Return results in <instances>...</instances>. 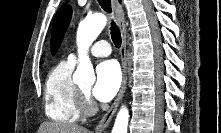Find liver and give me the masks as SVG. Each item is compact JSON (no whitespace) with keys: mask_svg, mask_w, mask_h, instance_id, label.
Returning <instances> with one entry per match:
<instances>
[{"mask_svg":"<svg viewBox=\"0 0 221 133\" xmlns=\"http://www.w3.org/2000/svg\"><path fill=\"white\" fill-rule=\"evenodd\" d=\"M38 133H91L88 129L65 125L62 123L45 122L38 130Z\"/></svg>","mask_w":221,"mask_h":133,"instance_id":"1","label":"liver"}]
</instances>
